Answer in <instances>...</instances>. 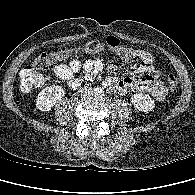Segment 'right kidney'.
<instances>
[{
    "label": "right kidney",
    "instance_id": "right-kidney-1",
    "mask_svg": "<svg viewBox=\"0 0 195 195\" xmlns=\"http://www.w3.org/2000/svg\"><path fill=\"white\" fill-rule=\"evenodd\" d=\"M65 94L59 85L43 88L37 96L36 108L40 111H50Z\"/></svg>",
    "mask_w": 195,
    "mask_h": 195
}]
</instances>
